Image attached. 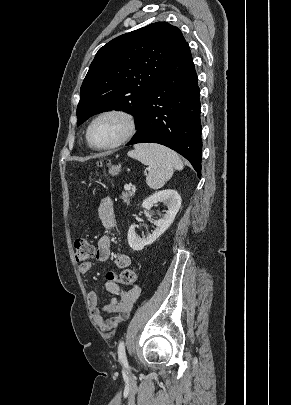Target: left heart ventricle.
<instances>
[{
	"instance_id": "obj_1",
	"label": "left heart ventricle",
	"mask_w": 291,
	"mask_h": 405,
	"mask_svg": "<svg viewBox=\"0 0 291 405\" xmlns=\"http://www.w3.org/2000/svg\"><path fill=\"white\" fill-rule=\"evenodd\" d=\"M124 131L125 123L121 118L106 116L93 125L90 140L95 146H105L120 138Z\"/></svg>"
}]
</instances>
